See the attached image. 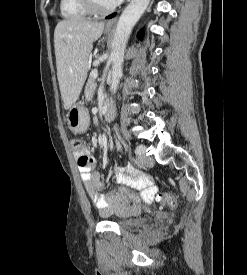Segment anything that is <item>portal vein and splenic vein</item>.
Segmentation results:
<instances>
[{
  "instance_id": "obj_1",
  "label": "portal vein and splenic vein",
  "mask_w": 247,
  "mask_h": 275,
  "mask_svg": "<svg viewBox=\"0 0 247 275\" xmlns=\"http://www.w3.org/2000/svg\"><path fill=\"white\" fill-rule=\"evenodd\" d=\"M91 74H92L93 77L96 78L98 76V71L95 69V70L92 71Z\"/></svg>"
}]
</instances>
